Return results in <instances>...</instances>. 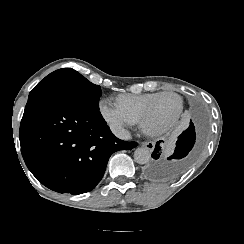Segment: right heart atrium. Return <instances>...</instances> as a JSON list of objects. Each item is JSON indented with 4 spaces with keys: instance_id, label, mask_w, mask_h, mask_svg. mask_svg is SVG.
I'll return each mask as SVG.
<instances>
[{
    "instance_id": "right-heart-atrium-1",
    "label": "right heart atrium",
    "mask_w": 244,
    "mask_h": 244,
    "mask_svg": "<svg viewBox=\"0 0 244 244\" xmlns=\"http://www.w3.org/2000/svg\"><path fill=\"white\" fill-rule=\"evenodd\" d=\"M100 110L105 120L115 129L130 125L134 119V111L128 104L116 107L108 102H103Z\"/></svg>"
}]
</instances>
